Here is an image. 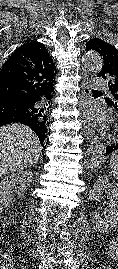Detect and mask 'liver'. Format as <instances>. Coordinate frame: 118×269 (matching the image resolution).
Instances as JSON below:
<instances>
[{
    "instance_id": "obj_1",
    "label": "liver",
    "mask_w": 118,
    "mask_h": 269,
    "mask_svg": "<svg viewBox=\"0 0 118 269\" xmlns=\"http://www.w3.org/2000/svg\"><path fill=\"white\" fill-rule=\"evenodd\" d=\"M41 145L37 135L21 124L0 128V177L37 163Z\"/></svg>"
}]
</instances>
